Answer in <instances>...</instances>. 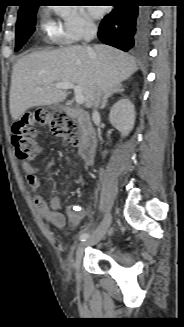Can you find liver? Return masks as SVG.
<instances>
[{
	"label": "liver",
	"mask_w": 184,
	"mask_h": 327,
	"mask_svg": "<svg viewBox=\"0 0 184 327\" xmlns=\"http://www.w3.org/2000/svg\"><path fill=\"white\" fill-rule=\"evenodd\" d=\"M74 45L52 51H35L13 66L9 95L10 113L19 119L28 109L65 100V89L54 85L72 82L80 87L85 106L90 108L102 95L130 78L138 67L132 56L113 47ZM41 89V90H39Z\"/></svg>",
	"instance_id": "1"
}]
</instances>
